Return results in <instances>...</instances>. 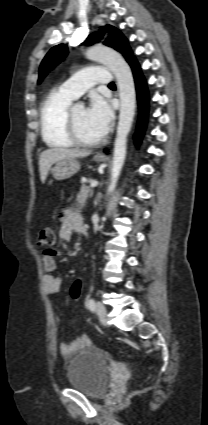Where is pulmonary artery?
Returning a JSON list of instances; mask_svg holds the SVG:
<instances>
[{
    "label": "pulmonary artery",
    "mask_w": 208,
    "mask_h": 425,
    "mask_svg": "<svg viewBox=\"0 0 208 425\" xmlns=\"http://www.w3.org/2000/svg\"><path fill=\"white\" fill-rule=\"evenodd\" d=\"M111 74L104 67H87L74 76L67 79L61 86V90L74 99L80 97L95 84H110Z\"/></svg>",
    "instance_id": "e3ab8cb5"
}]
</instances>
